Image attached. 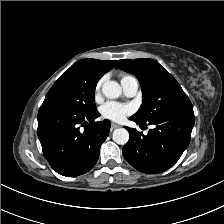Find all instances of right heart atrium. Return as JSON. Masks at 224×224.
Masks as SVG:
<instances>
[{"label": "right heart atrium", "mask_w": 224, "mask_h": 224, "mask_svg": "<svg viewBox=\"0 0 224 224\" xmlns=\"http://www.w3.org/2000/svg\"><path fill=\"white\" fill-rule=\"evenodd\" d=\"M102 84H103V78H101L95 86V97H98L100 95Z\"/></svg>", "instance_id": "1"}]
</instances>
